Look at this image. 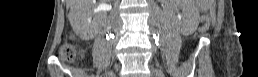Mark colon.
<instances>
[{"mask_svg": "<svg viewBox=\"0 0 258 77\" xmlns=\"http://www.w3.org/2000/svg\"><path fill=\"white\" fill-rule=\"evenodd\" d=\"M61 56L65 60H72L76 56V50L71 44H66L61 49Z\"/></svg>", "mask_w": 258, "mask_h": 77, "instance_id": "colon-1", "label": "colon"}]
</instances>
